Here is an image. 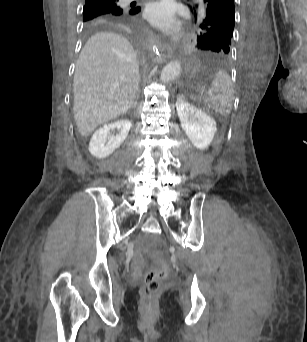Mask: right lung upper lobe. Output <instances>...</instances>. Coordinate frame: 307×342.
Masks as SVG:
<instances>
[{
	"instance_id": "1",
	"label": "right lung upper lobe",
	"mask_w": 307,
	"mask_h": 342,
	"mask_svg": "<svg viewBox=\"0 0 307 342\" xmlns=\"http://www.w3.org/2000/svg\"><path fill=\"white\" fill-rule=\"evenodd\" d=\"M83 10H103L104 13L83 21L84 32L114 30L133 32L138 25L139 7L129 6L121 0H85Z\"/></svg>"
}]
</instances>
